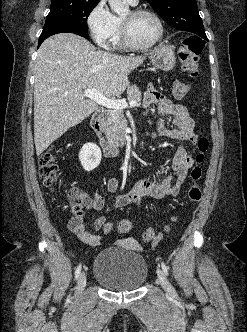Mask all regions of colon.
<instances>
[{
	"mask_svg": "<svg viewBox=\"0 0 247 332\" xmlns=\"http://www.w3.org/2000/svg\"><path fill=\"white\" fill-rule=\"evenodd\" d=\"M205 42L198 36H188L184 39L180 47L179 57L181 69L189 76L198 74V58L202 53ZM191 89V85L185 81H176L173 84L172 93L176 99L185 97ZM203 131V129H202ZM199 153L196 157V165L191 171V182L188 189V198L191 202H198L202 197L200 180L202 178L201 164L204 162L205 153L209 148V140L206 136H201L197 142ZM39 173L46 187L53 189L58 184L59 168L53 151H45L39 159ZM69 197L72 200L71 211L75 217H81L83 214L82 201L78 194L70 191ZM175 221V219H173ZM117 229L120 233H128L132 229V222L128 219L121 220L117 224L107 223L104 226L106 234ZM145 242H154L159 239V235L153 228H147L142 234Z\"/></svg>",
	"mask_w": 247,
	"mask_h": 332,
	"instance_id": "obj_1",
	"label": "colon"
}]
</instances>
